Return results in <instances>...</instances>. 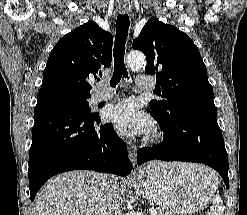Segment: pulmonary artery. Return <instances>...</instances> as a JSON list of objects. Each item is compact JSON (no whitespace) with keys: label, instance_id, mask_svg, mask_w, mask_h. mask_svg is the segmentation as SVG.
I'll return each instance as SVG.
<instances>
[{"label":"pulmonary artery","instance_id":"pulmonary-artery-1","mask_svg":"<svg viewBox=\"0 0 247 215\" xmlns=\"http://www.w3.org/2000/svg\"><path fill=\"white\" fill-rule=\"evenodd\" d=\"M137 85L142 89H150L154 86V78L151 76H139L136 80ZM116 94V91L108 89L105 87L104 83L100 84L99 89L94 93L93 100L95 102H100L103 100H108Z\"/></svg>","mask_w":247,"mask_h":215}]
</instances>
